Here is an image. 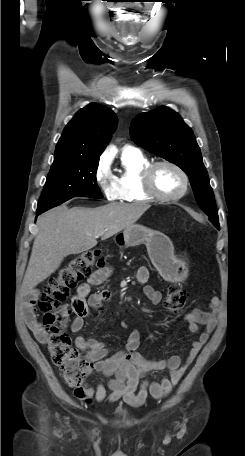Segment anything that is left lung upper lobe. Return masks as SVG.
Instances as JSON below:
<instances>
[{"instance_id": "obj_1", "label": "left lung upper lobe", "mask_w": 245, "mask_h": 456, "mask_svg": "<svg viewBox=\"0 0 245 456\" xmlns=\"http://www.w3.org/2000/svg\"><path fill=\"white\" fill-rule=\"evenodd\" d=\"M133 141L180 167L189 177L201 209L219 229L218 212L207 170L192 130L167 107L137 115L131 122Z\"/></svg>"}]
</instances>
